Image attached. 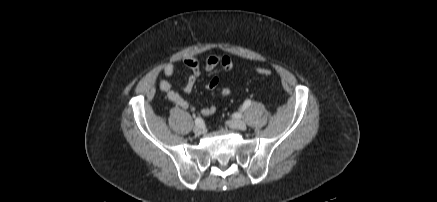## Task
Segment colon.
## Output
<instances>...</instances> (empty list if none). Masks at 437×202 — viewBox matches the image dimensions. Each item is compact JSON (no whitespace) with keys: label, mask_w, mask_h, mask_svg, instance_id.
I'll return each instance as SVG.
<instances>
[{"label":"colon","mask_w":437,"mask_h":202,"mask_svg":"<svg viewBox=\"0 0 437 202\" xmlns=\"http://www.w3.org/2000/svg\"><path fill=\"white\" fill-rule=\"evenodd\" d=\"M256 72H257L258 75L263 76V77H268V76L271 75V70L268 69V68L260 67V68L256 69Z\"/></svg>","instance_id":"colon-1"}]
</instances>
